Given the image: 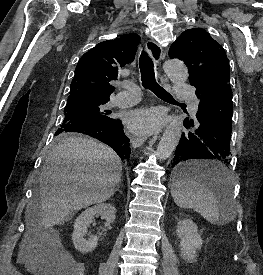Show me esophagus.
<instances>
[{
    "mask_svg": "<svg viewBox=\"0 0 263 275\" xmlns=\"http://www.w3.org/2000/svg\"><path fill=\"white\" fill-rule=\"evenodd\" d=\"M146 50L153 60L156 76L160 77V62L162 59L161 46L156 41L150 39L146 43ZM159 131H160V129H158L156 132L158 133ZM146 138H147L146 136L132 137V139H131L132 146L134 148L140 147L144 143Z\"/></svg>",
    "mask_w": 263,
    "mask_h": 275,
    "instance_id": "obj_1",
    "label": "esophagus"
}]
</instances>
